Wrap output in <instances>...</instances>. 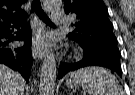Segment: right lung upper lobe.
Here are the masks:
<instances>
[{
    "label": "right lung upper lobe",
    "mask_w": 135,
    "mask_h": 95,
    "mask_svg": "<svg viewBox=\"0 0 135 95\" xmlns=\"http://www.w3.org/2000/svg\"><path fill=\"white\" fill-rule=\"evenodd\" d=\"M26 0H0V27L21 24L26 17L21 5Z\"/></svg>",
    "instance_id": "right-lung-upper-lobe-1"
}]
</instances>
